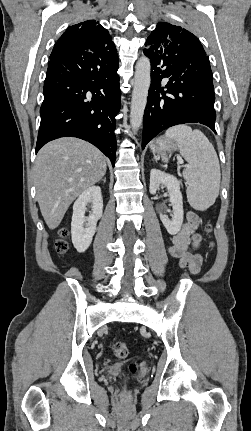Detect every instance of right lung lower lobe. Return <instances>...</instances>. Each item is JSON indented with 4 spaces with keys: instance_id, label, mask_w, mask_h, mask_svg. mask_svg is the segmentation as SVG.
I'll return each mask as SVG.
<instances>
[{
    "instance_id": "right-lung-lower-lobe-1",
    "label": "right lung lower lobe",
    "mask_w": 251,
    "mask_h": 431,
    "mask_svg": "<svg viewBox=\"0 0 251 431\" xmlns=\"http://www.w3.org/2000/svg\"><path fill=\"white\" fill-rule=\"evenodd\" d=\"M118 59L53 49L44 83L36 153L47 142L71 136L99 148L115 164V116L120 110Z\"/></svg>"
}]
</instances>
